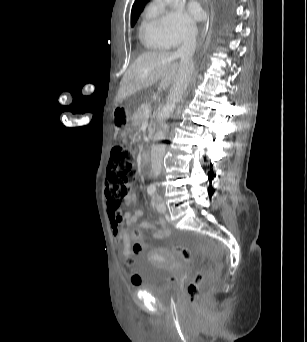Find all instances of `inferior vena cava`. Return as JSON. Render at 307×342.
<instances>
[{
  "instance_id": "1",
  "label": "inferior vena cava",
  "mask_w": 307,
  "mask_h": 342,
  "mask_svg": "<svg viewBox=\"0 0 307 342\" xmlns=\"http://www.w3.org/2000/svg\"><path fill=\"white\" fill-rule=\"evenodd\" d=\"M196 36L197 30H195V28H189L183 40V46L178 48L176 52V56H179L180 58V64L174 84L169 92L167 100L169 106H175V104L181 102L182 96L189 86V82L194 72L193 56L196 50ZM164 154V146H161V148H159V146H154L151 150V166L155 178L160 176L162 172Z\"/></svg>"
}]
</instances>
